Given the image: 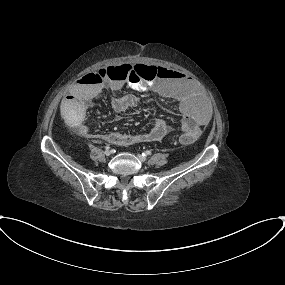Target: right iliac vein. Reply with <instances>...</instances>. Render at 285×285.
<instances>
[{
	"mask_svg": "<svg viewBox=\"0 0 285 285\" xmlns=\"http://www.w3.org/2000/svg\"><path fill=\"white\" fill-rule=\"evenodd\" d=\"M104 154H105L106 156H109V155H111V151H110V150H106V151L104 152Z\"/></svg>",
	"mask_w": 285,
	"mask_h": 285,
	"instance_id": "right-iliac-vein-1",
	"label": "right iliac vein"
}]
</instances>
